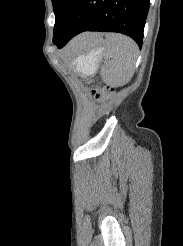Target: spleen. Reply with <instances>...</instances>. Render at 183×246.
Instances as JSON below:
<instances>
[{"instance_id":"1","label":"spleen","mask_w":183,"mask_h":246,"mask_svg":"<svg viewBox=\"0 0 183 246\" xmlns=\"http://www.w3.org/2000/svg\"><path fill=\"white\" fill-rule=\"evenodd\" d=\"M106 53L109 67L101 70L104 81L113 86H123L133 77L138 58V46L129 37L121 34H107Z\"/></svg>"}]
</instances>
